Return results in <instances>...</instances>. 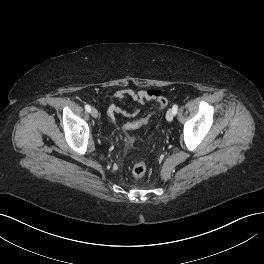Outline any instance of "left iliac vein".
<instances>
[{
	"label": "left iliac vein",
	"instance_id": "obj_1",
	"mask_svg": "<svg viewBox=\"0 0 264 264\" xmlns=\"http://www.w3.org/2000/svg\"><path fill=\"white\" fill-rule=\"evenodd\" d=\"M173 117H174V113H173V111L171 110V109H169L168 111H167V113H166V119H167V121H172L173 120Z\"/></svg>",
	"mask_w": 264,
	"mask_h": 264
}]
</instances>
